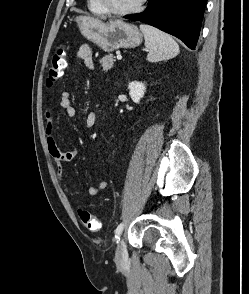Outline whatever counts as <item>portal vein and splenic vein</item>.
<instances>
[{
  "label": "portal vein and splenic vein",
  "mask_w": 249,
  "mask_h": 294,
  "mask_svg": "<svg viewBox=\"0 0 249 294\" xmlns=\"http://www.w3.org/2000/svg\"><path fill=\"white\" fill-rule=\"evenodd\" d=\"M117 59H118V60H121V59H122V56H121L120 54H118V55H117Z\"/></svg>",
  "instance_id": "obj_1"
}]
</instances>
